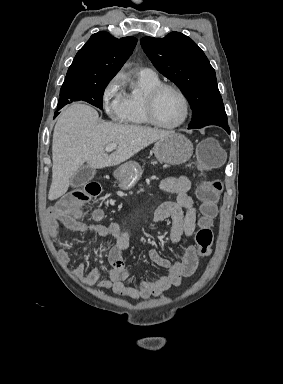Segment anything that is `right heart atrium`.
I'll return each instance as SVG.
<instances>
[{
    "instance_id": "1",
    "label": "right heart atrium",
    "mask_w": 283,
    "mask_h": 384,
    "mask_svg": "<svg viewBox=\"0 0 283 384\" xmlns=\"http://www.w3.org/2000/svg\"><path fill=\"white\" fill-rule=\"evenodd\" d=\"M101 104L108 118L116 124L124 120V80L121 73L115 74L103 86Z\"/></svg>"
}]
</instances>
